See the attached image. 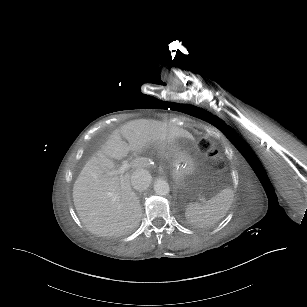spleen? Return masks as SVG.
I'll use <instances>...</instances> for the list:
<instances>
[{
    "mask_svg": "<svg viewBox=\"0 0 307 307\" xmlns=\"http://www.w3.org/2000/svg\"><path fill=\"white\" fill-rule=\"evenodd\" d=\"M233 200V191L225 188L206 202L189 204L185 215L189 222L198 227H210L222 219L229 210Z\"/></svg>",
    "mask_w": 307,
    "mask_h": 307,
    "instance_id": "1",
    "label": "spleen"
}]
</instances>
